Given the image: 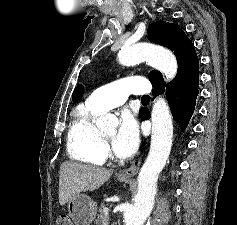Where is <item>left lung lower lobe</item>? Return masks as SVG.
<instances>
[{"mask_svg": "<svg viewBox=\"0 0 237 225\" xmlns=\"http://www.w3.org/2000/svg\"><path fill=\"white\" fill-rule=\"evenodd\" d=\"M199 74L189 76L185 79H180L167 85L166 97L173 118L180 124L184 130L194 112L196 98L198 95ZM165 86L155 87L153 94L157 96L163 93ZM140 115L143 120L150 118V111L146 108L140 110Z\"/></svg>", "mask_w": 237, "mask_h": 225, "instance_id": "0a47b994", "label": "left lung lower lobe"}]
</instances>
